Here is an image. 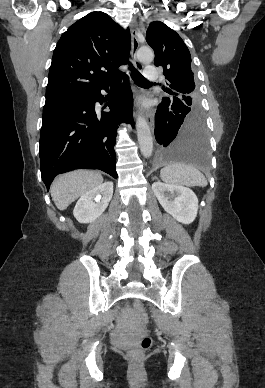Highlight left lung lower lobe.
Instances as JSON below:
<instances>
[{"label": "left lung lower lobe", "instance_id": "1", "mask_svg": "<svg viewBox=\"0 0 265 388\" xmlns=\"http://www.w3.org/2000/svg\"><path fill=\"white\" fill-rule=\"evenodd\" d=\"M157 160L183 162L197 167L208 164V136L200 109L164 97L155 115Z\"/></svg>", "mask_w": 265, "mask_h": 388}]
</instances>
